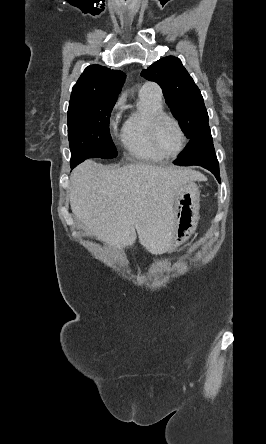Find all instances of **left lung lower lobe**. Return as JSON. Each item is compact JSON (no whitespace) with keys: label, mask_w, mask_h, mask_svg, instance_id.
Returning <instances> with one entry per match:
<instances>
[{"label":"left lung lower lobe","mask_w":266,"mask_h":444,"mask_svg":"<svg viewBox=\"0 0 266 444\" xmlns=\"http://www.w3.org/2000/svg\"><path fill=\"white\" fill-rule=\"evenodd\" d=\"M174 163L180 166H202L211 171L220 182L219 163L216 158L210 129L193 138Z\"/></svg>","instance_id":"obj_1"}]
</instances>
